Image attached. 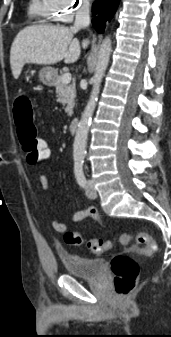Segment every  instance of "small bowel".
I'll use <instances>...</instances> for the list:
<instances>
[{
	"label": "small bowel",
	"mask_w": 171,
	"mask_h": 337,
	"mask_svg": "<svg viewBox=\"0 0 171 337\" xmlns=\"http://www.w3.org/2000/svg\"><path fill=\"white\" fill-rule=\"evenodd\" d=\"M39 183H40L41 188L44 191H47L49 189L48 177L45 174L39 175ZM87 218L98 221V222L101 221L100 215L97 212V210L95 208H88V209L78 210L74 212L71 218V223L75 224ZM51 225H52V228L56 232H59V233H65L70 228L69 224L60 222L57 219L52 220Z\"/></svg>",
	"instance_id": "1"
}]
</instances>
